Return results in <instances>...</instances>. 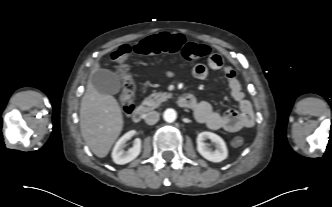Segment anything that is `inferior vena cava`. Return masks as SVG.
Masks as SVG:
<instances>
[{
    "label": "inferior vena cava",
    "mask_w": 332,
    "mask_h": 207,
    "mask_svg": "<svg viewBox=\"0 0 332 207\" xmlns=\"http://www.w3.org/2000/svg\"><path fill=\"white\" fill-rule=\"evenodd\" d=\"M159 120V113L156 111H151L146 114L145 122L148 125H154Z\"/></svg>",
    "instance_id": "obj_1"
}]
</instances>
